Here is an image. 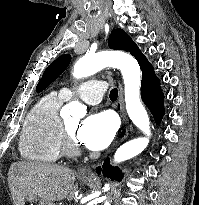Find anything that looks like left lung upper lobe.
<instances>
[{
	"label": "left lung upper lobe",
	"instance_id": "1",
	"mask_svg": "<svg viewBox=\"0 0 199 205\" xmlns=\"http://www.w3.org/2000/svg\"><path fill=\"white\" fill-rule=\"evenodd\" d=\"M132 42V39L127 35V33L122 29H114L109 38L108 46L116 50H125L129 44ZM71 61V56L65 54L53 61L45 70L41 80L39 81L36 92H41L48 85H50L69 65Z\"/></svg>",
	"mask_w": 199,
	"mask_h": 205
}]
</instances>
